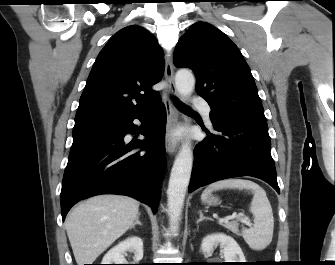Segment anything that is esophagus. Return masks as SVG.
Instances as JSON below:
<instances>
[{"label": "esophagus", "mask_w": 335, "mask_h": 265, "mask_svg": "<svg viewBox=\"0 0 335 265\" xmlns=\"http://www.w3.org/2000/svg\"><path fill=\"white\" fill-rule=\"evenodd\" d=\"M165 80L167 83L166 92L163 95V101L167 113V134H166V151L174 154L177 151V141L174 136L175 129L179 126L177 108L175 99L177 98L176 86L174 83V69L171 58L168 56L165 60Z\"/></svg>", "instance_id": "esophagus-1"}]
</instances>
